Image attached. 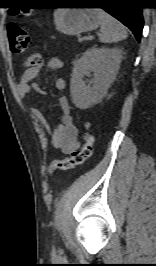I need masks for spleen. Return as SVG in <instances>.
<instances>
[{"instance_id":"1","label":"spleen","mask_w":156,"mask_h":266,"mask_svg":"<svg viewBox=\"0 0 156 266\" xmlns=\"http://www.w3.org/2000/svg\"><path fill=\"white\" fill-rule=\"evenodd\" d=\"M97 10L101 21L99 35V41L101 43H117L127 38V31L119 21L102 9Z\"/></svg>"}]
</instances>
